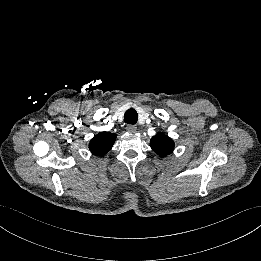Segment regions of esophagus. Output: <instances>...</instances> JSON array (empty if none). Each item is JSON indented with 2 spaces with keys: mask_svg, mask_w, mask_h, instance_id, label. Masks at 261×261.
<instances>
[{
  "mask_svg": "<svg viewBox=\"0 0 261 261\" xmlns=\"http://www.w3.org/2000/svg\"><path fill=\"white\" fill-rule=\"evenodd\" d=\"M126 129L130 133H135L137 131V126L136 125H127Z\"/></svg>",
  "mask_w": 261,
  "mask_h": 261,
  "instance_id": "34e87169",
  "label": "esophagus"
}]
</instances>
